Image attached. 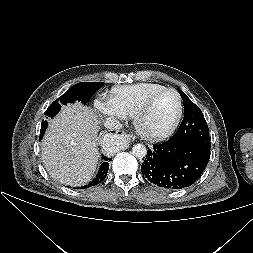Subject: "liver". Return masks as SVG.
I'll return each mask as SVG.
<instances>
[{
    "instance_id": "liver-1",
    "label": "liver",
    "mask_w": 253,
    "mask_h": 253,
    "mask_svg": "<svg viewBox=\"0 0 253 253\" xmlns=\"http://www.w3.org/2000/svg\"><path fill=\"white\" fill-rule=\"evenodd\" d=\"M98 124L94 111L81 103L62 107L49 121L41 152L52 178L70 186H81L91 180L99 157Z\"/></svg>"
}]
</instances>
